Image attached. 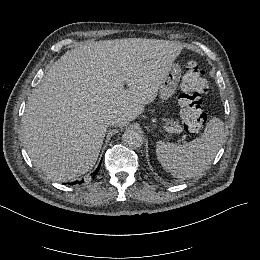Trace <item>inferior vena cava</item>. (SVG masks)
Wrapping results in <instances>:
<instances>
[{
	"label": "inferior vena cava",
	"instance_id": "1",
	"mask_svg": "<svg viewBox=\"0 0 260 260\" xmlns=\"http://www.w3.org/2000/svg\"><path fill=\"white\" fill-rule=\"evenodd\" d=\"M116 122H117V117H116V115H109V116L107 117V124H108V126L115 125Z\"/></svg>",
	"mask_w": 260,
	"mask_h": 260
}]
</instances>
